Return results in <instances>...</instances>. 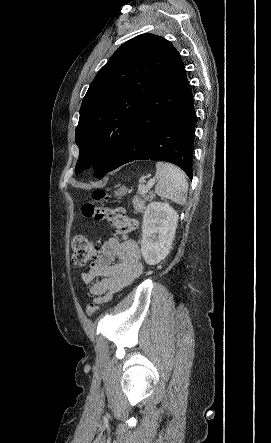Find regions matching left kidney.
I'll list each match as a JSON object with an SVG mask.
<instances>
[{
	"label": "left kidney",
	"instance_id": "5707ae66",
	"mask_svg": "<svg viewBox=\"0 0 271 443\" xmlns=\"http://www.w3.org/2000/svg\"><path fill=\"white\" fill-rule=\"evenodd\" d=\"M179 216L165 202L148 204L142 223V255L149 265H156L165 259L172 249Z\"/></svg>",
	"mask_w": 271,
	"mask_h": 443
}]
</instances>
